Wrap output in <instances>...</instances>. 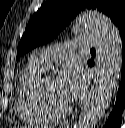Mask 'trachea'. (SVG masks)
<instances>
[{"label":"trachea","mask_w":125,"mask_h":128,"mask_svg":"<svg viewBox=\"0 0 125 128\" xmlns=\"http://www.w3.org/2000/svg\"><path fill=\"white\" fill-rule=\"evenodd\" d=\"M91 51H95V49H91Z\"/></svg>","instance_id":"obj_1"}]
</instances>
